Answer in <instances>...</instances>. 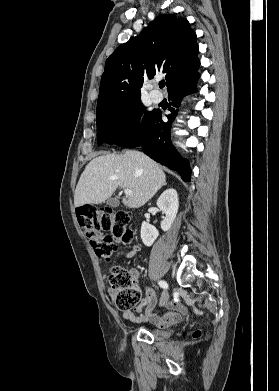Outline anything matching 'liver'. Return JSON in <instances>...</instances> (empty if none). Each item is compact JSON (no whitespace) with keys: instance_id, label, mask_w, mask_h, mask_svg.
<instances>
[{"instance_id":"6515ba94","label":"liver","mask_w":279,"mask_h":391,"mask_svg":"<svg viewBox=\"0 0 279 391\" xmlns=\"http://www.w3.org/2000/svg\"><path fill=\"white\" fill-rule=\"evenodd\" d=\"M166 184V175L154 160L142 152L126 150L94 158L80 176L74 193L76 207L100 204L116 188L130 189L122 203L129 208L145 205Z\"/></svg>"}]
</instances>
